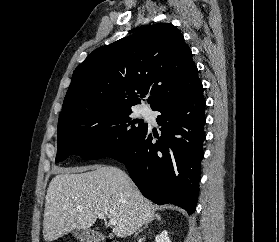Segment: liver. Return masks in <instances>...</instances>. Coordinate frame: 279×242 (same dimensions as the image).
<instances>
[{
	"label": "liver",
	"mask_w": 279,
	"mask_h": 242,
	"mask_svg": "<svg viewBox=\"0 0 279 242\" xmlns=\"http://www.w3.org/2000/svg\"><path fill=\"white\" fill-rule=\"evenodd\" d=\"M155 211L152 202L117 167L59 169L45 198L43 237L53 241L68 232L89 229L102 213L116 220L113 233L126 238L152 219Z\"/></svg>",
	"instance_id": "1"
}]
</instances>
